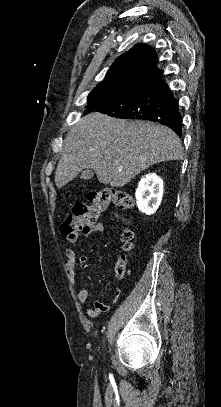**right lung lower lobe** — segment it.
<instances>
[{
	"mask_svg": "<svg viewBox=\"0 0 221 407\" xmlns=\"http://www.w3.org/2000/svg\"><path fill=\"white\" fill-rule=\"evenodd\" d=\"M117 118L142 119L170 127L179 136L181 114L179 105L161 74L120 100L98 109Z\"/></svg>",
	"mask_w": 221,
	"mask_h": 407,
	"instance_id": "98d812e1",
	"label": "right lung lower lobe"
}]
</instances>
